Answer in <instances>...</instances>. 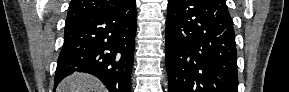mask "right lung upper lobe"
<instances>
[{"label": "right lung upper lobe", "mask_w": 289, "mask_h": 92, "mask_svg": "<svg viewBox=\"0 0 289 92\" xmlns=\"http://www.w3.org/2000/svg\"><path fill=\"white\" fill-rule=\"evenodd\" d=\"M129 0H72L68 9L67 21L91 14L108 11L124 5Z\"/></svg>", "instance_id": "obj_1"}]
</instances>
